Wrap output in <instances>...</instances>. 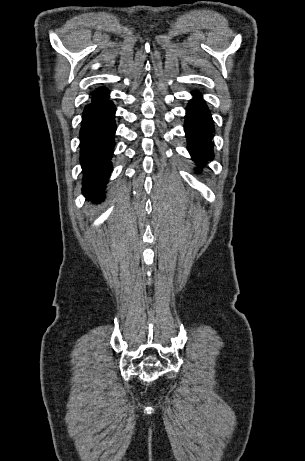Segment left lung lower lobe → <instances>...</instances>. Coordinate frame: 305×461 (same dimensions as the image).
<instances>
[{
	"mask_svg": "<svg viewBox=\"0 0 305 461\" xmlns=\"http://www.w3.org/2000/svg\"><path fill=\"white\" fill-rule=\"evenodd\" d=\"M185 116V132L188 140V150L193 160L203 166L213 159V120L210 111L201 95L193 93Z\"/></svg>",
	"mask_w": 305,
	"mask_h": 461,
	"instance_id": "1",
	"label": "left lung lower lobe"
}]
</instances>
